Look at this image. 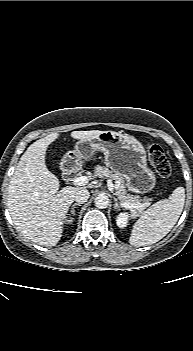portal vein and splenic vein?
<instances>
[{"label": "portal vein and splenic vein", "mask_w": 193, "mask_h": 351, "mask_svg": "<svg viewBox=\"0 0 193 351\" xmlns=\"http://www.w3.org/2000/svg\"><path fill=\"white\" fill-rule=\"evenodd\" d=\"M88 183V178L86 176L75 177L73 179V184L77 186H84ZM107 185L110 191H113L114 185L111 180L107 181ZM123 206L126 208H138L140 205L138 204H131V203H123Z\"/></svg>", "instance_id": "obj_1"}]
</instances>
